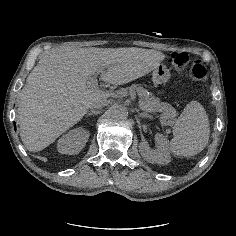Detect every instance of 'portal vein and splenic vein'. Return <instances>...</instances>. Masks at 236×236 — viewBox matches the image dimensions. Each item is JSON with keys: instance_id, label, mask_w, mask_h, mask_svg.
<instances>
[{"instance_id": "portal-vein-and-splenic-vein-1", "label": "portal vein and splenic vein", "mask_w": 236, "mask_h": 236, "mask_svg": "<svg viewBox=\"0 0 236 236\" xmlns=\"http://www.w3.org/2000/svg\"><path fill=\"white\" fill-rule=\"evenodd\" d=\"M87 86L88 87H96L98 85V80H97V77L96 76H93V77H90L88 79V81L86 82ZM121 92L120 91H117L115 96L119 97L121 96Z\"/></svg>"}]
</instances>
